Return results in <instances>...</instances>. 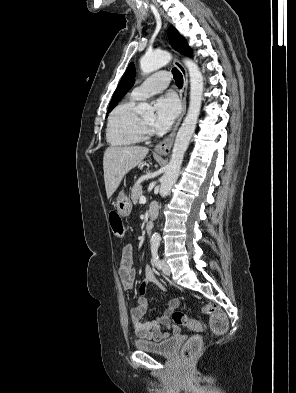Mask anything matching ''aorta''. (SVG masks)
<instances>
[{
  "instance_id": "1",
  "label": "aorta",
  "mask_w": 296,
  "mask_h": 393,
  "mask_svg": "<svg viewBox=\"0 0 296 393\" xmlns=\"http://www.w3.org/2000/svg\"><path fill=\"white\" fill-rule=\"evenodd\" d=\"M171 58V54L166 51H155L146 54L140 59L141 71L144 75L152 73L168 64ZM184 64L187 67L190 76L189 108L187 115L176 135L172 155L161 180L160 194L162 197L169 195L173 185L178 179L184 154L195 131L202 104L204 90L202 73L194 61L190 59H184ZM137 112L140 114L152 113L153 108L147 103H140L137 106ZM160 240L161 236L159 233H154L152 235L151 241L153 243L158 244Z\"/></svg>"
}]
</instances>
